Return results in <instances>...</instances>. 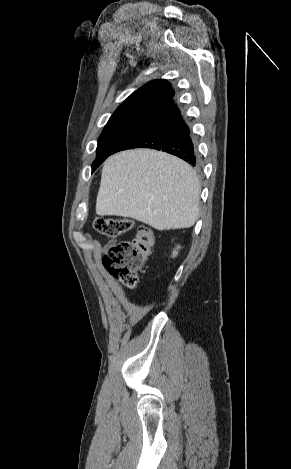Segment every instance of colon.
<instances>
[{
  "label": "colon",
  "mask_w": 291,
  "mask_h": 469,
  "mask_svg": "<svg viewBox=\"0 0 291 469\" xmlns=\"http://www.w3.org/2000/svg\"><path fill=\"white\" fill-rule=\"evenodd\" d=\"M94 230L104 236L116 238L133 228L128 218H97ZM154 234L145 225L138 227L136 234L129 240L112 243L103 257V266L117 280L128 288H135L139 272L152 253Z\"/></svg>",
  "instance_id": "obj_1"
}]
</instances>
